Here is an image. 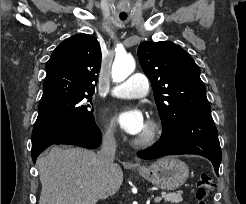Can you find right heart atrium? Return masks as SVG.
Masks as SVG:
<instances>
[{
  "label": "right heart atrium",
  "mask_w": 246,
  "mask_h": 204,
  "mask_svg": "<svg viewBox=\"0 0 246 204\" xmlns=\"http://www.w3.org/2000/svg\"><path fill=\"white\" fill-rule=\"evenodd\" d=\"M102 135L107 140H113L116 135V127L112 121H102Z\"/></svg>",
  "instance_id": "right-heart-atrium-1"
}]
</instances>
